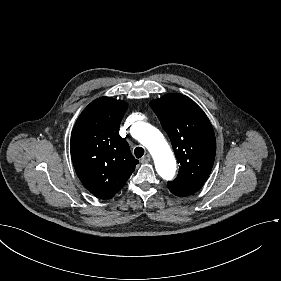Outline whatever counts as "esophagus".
Masks as SVG:
<instances>
[{
  "label": "esophagus",
  "mask_w": 281,
  "mask_h": 281,
  "mask_svg": "<svg viewBox=\"0 0 281 281\" xmlns=\"http://www.w3.org/2000/svg\"><path fill=\"white\" fill-rule=\"evenodd\" d=\"M150 160H151V156L149 154H147L146 156H144L141 159V163H148V162H150Z\"/></svg>",
  "instance_id": "1"
}]
</instances>
